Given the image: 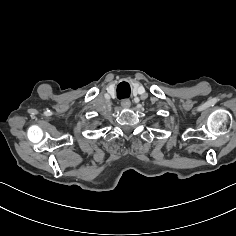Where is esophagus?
<instances>
[{
    "mask_svg": "<svg viewBox=\"0 0 236 236\" xmlns=\"http://www.w3.org/2000/svg\"><path fill=\"white\" fill-rule=\"evenodd\" d=\"M121 106L123 108H129L131 106V101L129 99H124L121 101Z\"/></svg>",
    "mask_w": 236,
    "mask_h": 236,
    "instance_id": "obj_1",
    "label": "esophagus"
}]
</instances>
